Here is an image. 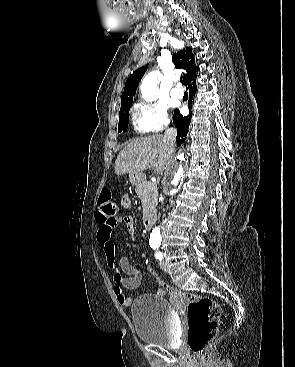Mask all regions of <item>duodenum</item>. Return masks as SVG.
Masks as SVG:
<instances>
[{"mask_svg":"<svg viewBox=\"0 0 295 367\" xmlns=\"http://www.w3.org/2000/svg\"><path fill=\"white\" fill-rule=\"evenodd\" d=\"M155 221V216L152 214H147L143 219V224L146 229H150Z\"/></svg>","mask_w":295,"mask_h":367,"instance_id":"obj_1","label":"duodenum"}]
</instances>
